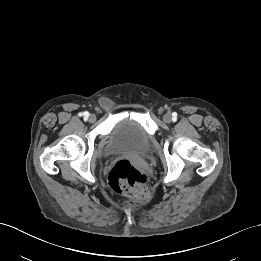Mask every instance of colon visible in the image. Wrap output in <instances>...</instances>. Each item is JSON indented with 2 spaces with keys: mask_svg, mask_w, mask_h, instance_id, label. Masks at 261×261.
<instances>
[{
  "mask_svg": "<svg viewBox=\"0 0 261 261\" xmlns=\"http://www.w3.org/2000/svg\"><path fill=\"white\" fill-rule=\"evenodd\" d=\"M108 182L115 192L126 196L132 203H140L148 198L147 175L127 159L114 164Z\"/></svg>",
  "mask_w": 261,
  "mask_h": 261,
  "instance_id": "colon-1",
  "label": "colon"
}]
</instances>
